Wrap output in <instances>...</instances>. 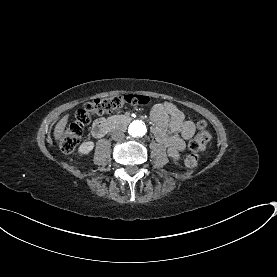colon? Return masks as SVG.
<instances>
[{
	"label": "colon",
	"instance_id": "1",
	"mask_svg": "<svg viewBox=\"0 0 277 277\" xmlns=\"http://www.w3.org/2000/svg\"><path fill=\"white\" fill-rule=\"evenodd\" d=\"M151 97L140 94H124L101 96L83 105L75 114L74 120L65 125L61 131V146L65 151H72V146L77 143L82 135L85 126L90 122L91 117L104 113H114L125 105L146 106L151 103ZM194 136L188 143L192 153L184 155L185 166L194 170L199 166L198 153L202 152L208 143L212 141V134L206 122L198 119Z\"/></svg>",
	"mask_w": 277,
	"mask_h": 277
}]
</instances>
